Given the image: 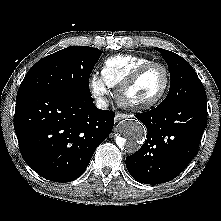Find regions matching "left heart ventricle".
Masks as SVG:
<instances>
[{
  "label": "left heart ventricle",
  "mask_w": 221,
  "mask_h": 221,
  "mask_svg": "<svg viewBox=\"0 0 221 221\" xmlns=\"http://www.w3.org/2000/svg\"><path fill=\"white\" fill-rule=\"evenodd\" d=\"M165 83L164 71L160 67L149 69L126 93V100L143 102L155 97Z\"/></svg>",
  "instance_id": "left-heart-ventricle-1"
}]
</instances>
